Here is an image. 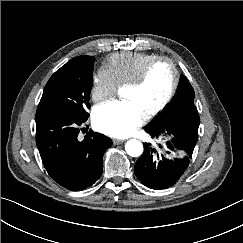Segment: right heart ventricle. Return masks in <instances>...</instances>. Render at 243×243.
Returning a JSON list of instances; mask_svg holds the SVG:
<instances>
[{"instance_id": "e07e8e85", "label": "right heart ventricle", "mask_w": 243, "mask_h": 243, "mask_svg": "<svg viewBox=\"0 0 243 243\" xmlns=\"http://www.w3.org/2000/svg\"><path fill=\"white\" fill-rule=\"evenodd\" d=\"M156 57L158 56L151 53L118 52L105 60V67L118 86H125L137 77L148 62Z\"/></svg>"}]
</instances>
